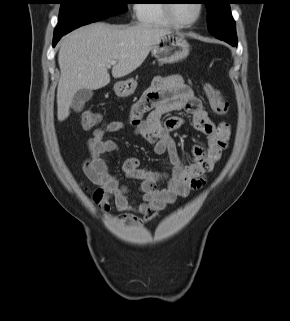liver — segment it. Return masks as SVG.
I'll return each instance as SVG.
<instances>
[{"instance_id": "liver-1", "label": "liver", "mask_w": 290, "mask_h": 321, "mask_svg": "<svg viewBox=\"0 0 290 321\" xmlns=\"http://www.w3.org/2000/svg\"><path fill=\"white\" fill-rule=\"evenodd\" d=\"M171 33L149 25L123 26L97 22L66 35L58 53L61 76L57 88V117L70 114L73 97L81 89L96 90L110 82L109 62L114 78L125 77L146 59L153 46Z\"/></svg>"}]
</instances>
